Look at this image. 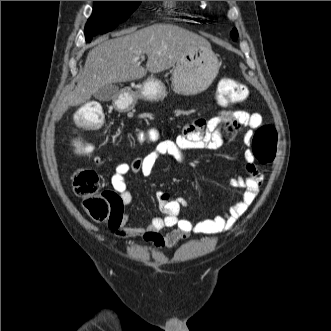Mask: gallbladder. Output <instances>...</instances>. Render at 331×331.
I'll return each mask as SVG.
<instances>
[{
    "mask_svg": "<svg viewBox=\"0 0 331 331\" xmlns=\"http://www.w3.org/2000/svg\"><path fill=\"white\" fill-rule=\"evenodd\" d=\"M119 95V87L116 84H108L98 89L94 97L100 101H110Z\"/></svg>",
    "mask_w": 331,
    "mask_h": 331,
    "instance_id": "obj_1",
    "label": "gallbladder"
}]
</instances>
